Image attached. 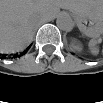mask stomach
<instances>
[{
    "instance_id": "0dacf381",
    "label": "stomach",
    "mask_w": 103,
    "mask_h": 103,
    "mask_svg": "<svg viewBox=\"0 0 103 103\" xmlns=\"http://www.w3.org/2000/svg\"><path fill=\"white\" fill-rule=\"evenodd\" d=\"M71 7L72 15L83 34L89 37L101 35L103 28V4L101 1H75Z\"/></svg>"
}]
</instances>
